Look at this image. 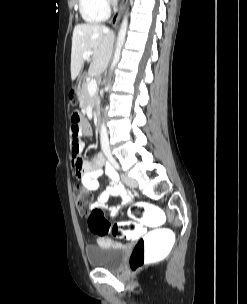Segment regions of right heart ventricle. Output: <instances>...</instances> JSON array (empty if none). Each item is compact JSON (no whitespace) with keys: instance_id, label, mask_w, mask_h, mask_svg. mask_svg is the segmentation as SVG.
<instances>
[{"instance_id":"right-heart-ventricle-1","label":"right heart ventricle","mask_w":247,"mask_h":304,"mask_svg":"<svg viewBox=\"0 0 247 304\" xmlns=\"http://www.w3.org/2000/svg\"><path fill=\"white\" fill-rule=\"evenodd\" d=\"M79 12L82 19L89 24H96L108 18V9L101 0H79Z\"/></svg>"}]
</instances>
